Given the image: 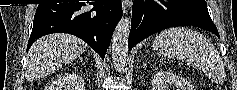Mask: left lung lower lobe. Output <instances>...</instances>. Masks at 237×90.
<instances>
[{"instance_id":"left-lung-lower-lobe-1","label":"left lung lower lobe","mask_w":237,"mask_h":90,"mask_svg":"<svg viewBox=\"0 0 237 90\" xmlns=\"http://www.w3.org/2000/svg\"><path fill=\"white\" fill-rule=\"evenodd\" d=\"M186 25L203 28L220 38L204 0L134 1L129 50L144 38L165 28Z\"/></svg>"}]
</instances>
